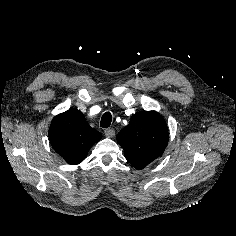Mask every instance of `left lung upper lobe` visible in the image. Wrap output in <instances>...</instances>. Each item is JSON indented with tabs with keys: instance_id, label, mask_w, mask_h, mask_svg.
I'll list each match as a JSON object with an SVG mask.
<instances>
[{
	"instance_id": "left-lung-upper-lobe-1",
	"label": "left lung upper lobe",
	"mask_w": 236,
	"mask_h": 236,
	"mask_svg": "<svg viewBox=\"0 0 236 236\" xmlns=\"http://www.w3.org/2000/svg\"><path fill=\"white\" fill-rule=\"evenodd\" d=\"M168 139L165 120L155 111L134 114L129 124L117 135L126 159L137 169L144 168L161 156Z\"/></svg>"
}]
</instances>
